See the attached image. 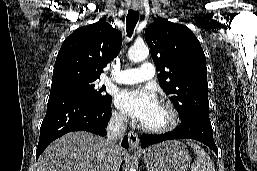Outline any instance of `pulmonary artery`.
Masks as SVG:
<instances>
[{
    "instance_id": "pulmonary-artery-1",
    "label": "pulmonary artery",
    "mask_w": 257,
    "mask_h": 171,
    "mask_svg": "<svg viewBox=\"0 0 257 171\" xmlns=\"http://www.w3.org/2000/svg\"><path fill=\"white\" fill-rule=\"evenodd\" d=\"M154 76L155 66L151 62H143L139 68H129L116 73L111 80L120 84H136Z\"/></svg>"
}]
</instances>
